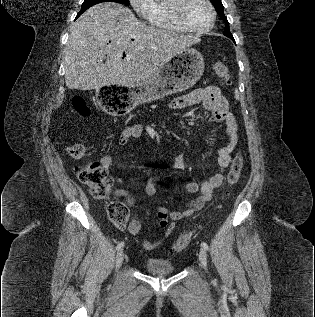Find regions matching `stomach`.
<instances>
[{
  "label": "stomach",
  "instance_id": "1",
  "mask_svg": "<svg viewBox=\"0 0 315 317\" xmlns=\"http://www.w3.org/2000/svg\"><path fill=\"white\" fill-rule=\"evenodd\" d=\"M204 67L201 53L186 48L147 81L138 84H103L99 88V95L110 97H99V104L109 114H132V109L139 108V104L189 89L200 79Z\"/></svg>",
  "mask_w": 315,
  "mask_h": 317
}]
</instances>
